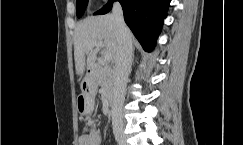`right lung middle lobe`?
Returning <instances> with one entry per match:
<instances>
[{
    "instance_id": "obj_1",
    "label": "right lung middle lobe",
    "mask_w": 243,
    "mask_h": 145,
    "mask_svg": "<svg viewBox=\"0 0 243 145\" xmlns=\"http://www.w3.org/2000/svg\"><path fill=\"white\" fill-rule=\"evenodd\" d=\"M87 4L88 0H76V14L78 18L83 15Z\"/></svg>"
}]
</instances>
